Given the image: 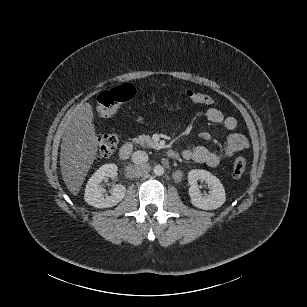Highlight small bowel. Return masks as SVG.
Wrapping results in <instances>:
<instances>
[{"label": "small bowel", "mask_w": 307, "mask_h": 307, "mask_svg": "<svg viewBox=\"0 0 307 307\" xmlns=\"http://www.w3.org/2000/svg\"><path fill=\"white\" fill-rule=\"evenodd\" d=\"M206 118L213 124L222 125L227 130L233 131L237 127V120L231 116H225L219 109L211 107L206 111ZM248 147L247 138L240 133H231L224 149L219 152L198 145L182 151V157L198 163H204L210 167H216L224 160L232 157L236 152Z\"/></svg>", "instance_id": "obj_1"}]
</instances>
